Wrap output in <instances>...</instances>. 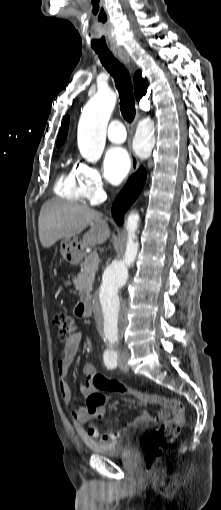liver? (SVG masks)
Listing matches in <instances>:
<instances>
[{"label":"liver","mask_w":221,"mask_h":510,"mask_svg":"<svg viewBox=\"0 0 221 510\" xmlns=\"http://www.w3.org/2000/svg\"><path fill=\"white\" fill-rule=\"evenodd\" d=\"M89 225L90 229L81 241L82 248L101 245L108 240L109 226L100 212L62 199L48 200L39 215L40 242L44 248H49L60 239L76 236Z\"/></svg>","instance_id":"6515ba94"}]
</instances>
